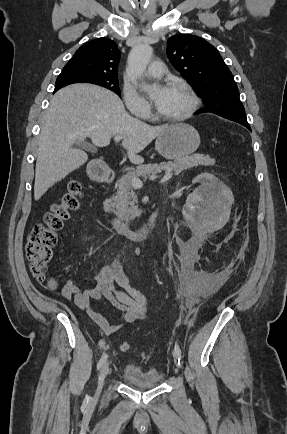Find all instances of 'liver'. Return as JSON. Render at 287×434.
I'll return each instance as SVG.
<instances>
[{"mask_svg": "<svg viewBox=\"0 0 287 434\" xmlns=\"http://www.w3.org/2000/svg\"><path fill=\"white\" fill-rule=\"evenodd\" d=\"M168 126H150L130 116L121 99L105 88L74 84L59 90L46 110L38 142L34 198L78 169L88 160L77 141L90 138L97 147L109 145L111 137H122L132 163H142L138 155Z\"/></svg>", "mask_w": 287, "mask_h": 434, "instance_id": "1", "label": "liver"}]
</instances>
